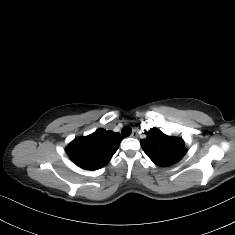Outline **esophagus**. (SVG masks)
<instances>
[{
	"mask_svg": "<svg viewBox=\"0 0 235 235\" xmlns=\"http://www.w3.org/2000/svg\"><path fill=\"white\" fill-rule=\"evenodd\" d=\"M132 138H136V137H138V133H137V130H133L132 131V133H131V135H130Z\"/></svg>",
	"mask_w": 235,
	"mask_h": 235,
	"instance_id": "34e87169",
	"label": "esophagus"
}]
</instances>
